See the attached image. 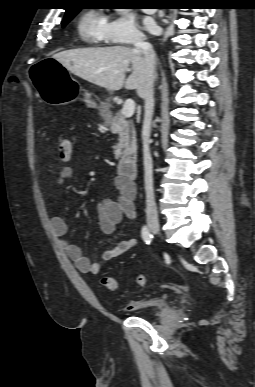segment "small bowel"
<instances>
[{
    "instance_id": "small-bowel-1",
    "label": "small bowel",
    "mask_w": 255,
    "mask_h": 387,
    "mask_svg": "<svg viewBox=\"0 0 255 387\" xmlns=\"http://www.w3.org/2000/svg\"><path fill=\"white\" fill-rule=\"evenodd\" d=\"M72 157L73 154L67 157L60 156V159L62 161H69ZM73 175V167H62L56 178L57 185L61 186L66 180L71 179ZM114 185L118 191L117 197L115 199L103 198L97 204L100 229L104 234L109 236L115 234L117 226L123 217L131 219L136 217L134 205L135 187L133 183L122 178H116ZM51 228L55 236L60 239L66 254L74 263L76 269L81 273L97 275L101 272L105 262L122 256L137 245L135 238L121 240L115 246L103 250L100 259L92 262L88 257L83 255L77 245L65 238L68 232V225L61 216L54 215L51 218ZM136 304L137 302H132L128 308L133 310Z\"/></svg>"
}]
</instances>
